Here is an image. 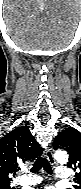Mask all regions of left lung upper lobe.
<instances>
[{
    "mask_svg": "<svg viewBox=\"0 0 81 189\" xmlns=\"http://www.w3.org/2000/svg\"><path fill=\"white\" fill-rule=\"evenodd\" d=\"M53 148L64 149L69 153L68 167L73 170H79L74 178L75 189H81V133L73 127H68L62 132L58 133Z\"/></svg>",
    "mask_w": 81,
    "mask_h": 189,
    "instance_id": "left-lung-upper-lobe-1",
    "label": "left lung upper lobe"
}]
</instances>
